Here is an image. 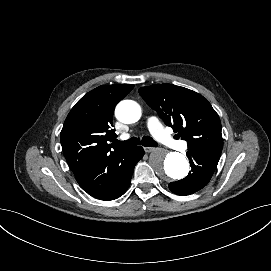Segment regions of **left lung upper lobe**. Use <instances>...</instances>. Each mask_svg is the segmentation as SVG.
I'll list each match as a JSON object with an SVG mask.
<instances>
[{"label":"left lung upper lobe","instance_id":"1","mask_svg":"<svg viewBox=\"0 0 271 271\" xmlns=\"http://www.w3.org/2000/svg\"><path fill=\"white\" fill-rule=\"evenodd\" d=\"M139 93L167 126L186 140L190 151L207 149L221 155V122L211 104L200 94L172 84L142 87Z\"/></svg>","mask_w":271,"mask_h":271}]
</instances>
